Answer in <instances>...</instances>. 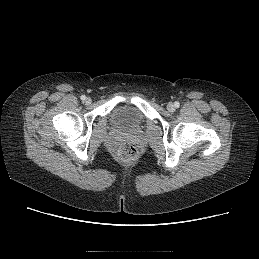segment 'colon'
Returning a JSON list of instances; mask_svg holds the SVG:
<instances>
[{
    "label": "colon",
    "mask_w": 259,
    "mask_h": 259,
    "mask_svg": "<svg viewBox=\"0 0 259 259\" xmlns=\"http://www.w3.org/2000/svg\"><path fill=\"white\" fill-rule=\"evenodd\" d=\"M116 156L120 162L131 163L137 158L138 149L130 142H123L119 145Z\"/></svg>",
    "instance_id": "colon-1"
}]
</instances>
